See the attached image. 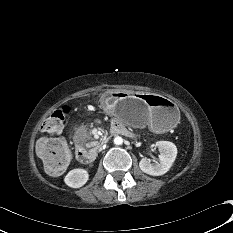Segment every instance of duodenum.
Here are the masks:
<instances>
[{
	"instance_id": "1",
	"label": "duodenum",
	"mask_w": 233,
	"mask_h": 233,
	"mask_svg": "<svg viewBox=\"0 0 233 233\" xmlns=\"http://www.w3.org/2000/svg\"><path fill=\"white\" fill-rule=\"evenodd\" d=\"M110 135L111 136H114V135L128 136L130 135V132L126 128H124L122 125L115 123L112 125L110 129ZM76 153H77V158L81 163L93 162L97 156V151L95 150L86 151L82 147H78L76 149Z\"/></svg>"
}]
</instances>
